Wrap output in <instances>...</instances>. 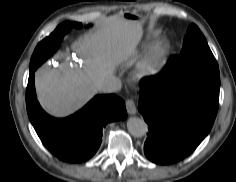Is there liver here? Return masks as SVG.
<instances>
[{
    "label": "liver",
    "instance_id": "6515ba94",
    "mask_svg": "<svg viewBox=\"0 0 236 182\" xmlns=\"http://www.w3.org/2000/svg\"><path fill=\"white\" fill-rule=\"evenodd\" d=\"M142 27L120 17L108 18L95 32L73 43V51L84 60L82 67L66 62L37 70L35 84L42 107L51 115L64 117L80 109L113 76L118 65L135 54Z\"/></svg>",
    "mask_w": 236,
    "mask_h": 182
}]
</instances>
